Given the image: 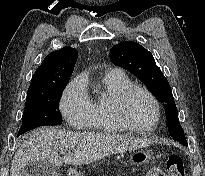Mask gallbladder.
Segmentation results:
<instances>
[{
    "label": "gallbladder",
    "instance_id": "obj_1",
    "mask_svg": "<svg viewBox=\"0 0 205 176\" xmlns=\"http://www.w3.org/2000/svg\"><path fill=\"white\" fill-rule=\"evenodd\" d=\"M21 176H59V169L46 161L30 162L22 169Z\"/></svg>",
    "mask_w": 205,
    "mask_h": 176
}]
</instances>
